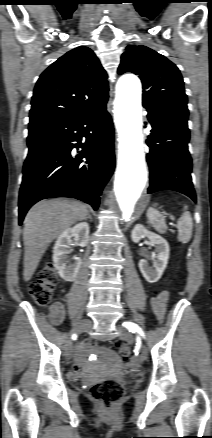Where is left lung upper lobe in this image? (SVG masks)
Wrapping results in <instances>:
<instances>
[{"label": "left lung upper lobe", "instance_id": "obj_1", "mask_svg": "<svg viewBox=\"0 0 212 438\" xmlns=\"http://www.w3.org/2000/svg\"><path fill=\"white\" fill-rule=\"evenodd\" d=\"M125 72H133L142 80L143 106L147 111L188 119L183 78L166 57L143 45H129L118 68L119 74Z\"/></svg>", "mask_w": 212, "mask_h": 438}]
</instances>
